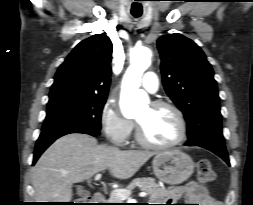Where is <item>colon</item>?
<instances>
[{
    "mask_svg": "<svg viewBox=\"0 0 253 205\" xmlns=\"http://www.w3.org/2000/svg\"><path fill=\"white\" fill-rule=\"evenodd\" d=\"M198 181L201 185H208L216 180V173L209 160L203 159L197 165ZM76 205H89L88 199H79Z\"/></svg>",
    "mask_w": 253,
    "mask_h": 205,
    "instance_id": "5ec220e1",
    "label": "colon"
}]
</instances>
